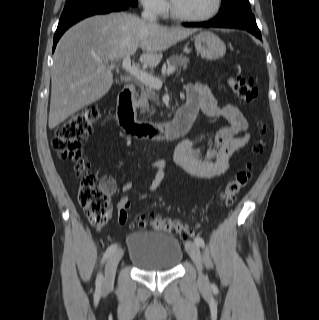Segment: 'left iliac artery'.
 <instances>
[{
  "instance_id": "obj_1",
  "label": "left iliac artery",
  "mask_w": 319,
  "mask_h": 320,
  "mask_svg": "<svg viewBox=\"0 0 319 320\" xmlns=\"http://www.w3.org/2000/svg\"><path fill=\"white\" fill-rule=\"evenodd\" d=\"M194 241L199 247L203 248L205 246V242H204L203 238L200 236L195 237Z\"/></svg>"
}]
</instances>
